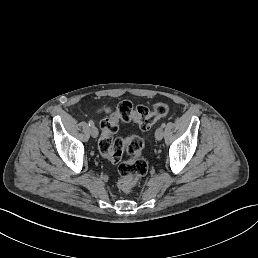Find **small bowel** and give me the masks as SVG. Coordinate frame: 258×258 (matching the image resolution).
<instances>
[{"label":"small bowel","instance_id":"small-bowel-1","mask_svg":"<svg viewBox=\"0 0 258 258\" xmlns=\"http://www.w3.org/2000/svg\"><path fill=\"white\" fill-rule=\"evenodd\" d=\"M101 111H104L105 113H109V112H111V109H110V108H104V109L101 110Z\"/></svg>","mask_w":258,"mask_h":258}]
</instances>
